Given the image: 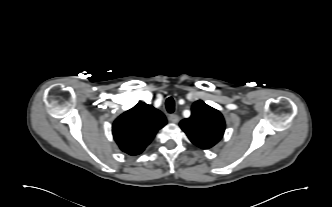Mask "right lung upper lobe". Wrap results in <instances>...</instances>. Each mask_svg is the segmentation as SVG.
<instances>
[{"label":"right lung upper lobe","instance_id":"right-lung-upper-lobe-1","mask_svg":"<svg viewBox=\"0 0 332 207\" xmlns=\"http://www.w3.org/2000/svg\"><path fill=\"white\" fill-rule=\"evenodd\" d=\"M166 123V117L161 111L139 102L114 121L113 137L123 152L138 155Z\"/></svg>","mask_w":332,"mask_h":207}]
</instances>
